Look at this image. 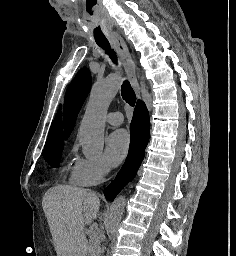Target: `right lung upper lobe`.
Masks as SVG:
<instances>
[{
	"instance_id": "obj_1",
	"label": "right lung upper lobe",
	"mask_w": 236,
	"mask_h": 256,
	"mask_svg": "<svg viewBox=\"0 0 236 256\" xmlns=\"http://www.w3.org/2000/svg\"><path fill=\"white\" fill-rule=\"evenodd\" d=\"M61 109V105H60ZM63 140V132H62V118H61V111L59 110L56 114V117L53 121L51 131L47 142H55Z\"/></svg>"
}]
</instances>
